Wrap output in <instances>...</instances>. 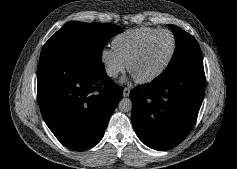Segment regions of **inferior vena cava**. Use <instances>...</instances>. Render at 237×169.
I'll list each match as a JSON object with an SVG mask.
<instances>
[{
	"mask_svg": "<svg viewBox=\"0 0 237 169\" xmlns=\"http://www.w3.org/2000/svg\"><path fill=\"white\" fill-rule=\"evenodd\" d=\"M106 73L109 77H117L119 71L113 67H106Z\"/></svg>",
	"mask_w": 237,
	"mask_h": 169,
	"instance_id": "1",
	"label": "inferior vena cava"
}]
</instances>
